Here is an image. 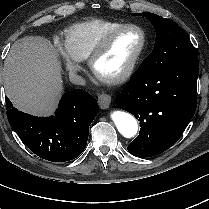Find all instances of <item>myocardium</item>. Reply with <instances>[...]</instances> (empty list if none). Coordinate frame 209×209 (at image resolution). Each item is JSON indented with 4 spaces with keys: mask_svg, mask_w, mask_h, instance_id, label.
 I'll return each instance as SVG.
<instances>
[{
    "mask_svg": "<svg viewBox=\"0 0 209 209\" xmlns=\"http://www.w3.org/2000/svg\"><path fill=\"white\" fill-rule=\"evenodd\" d=\"M125 30H137L141 33L142 41L138 50L133 55V57L127 64V66L120 73L116 75H112V76H106V75L100 74L96 68L98 61L100 60V58L104 55V53L110 46L113 37L119 32L125 31ZM147 42H148V36H147L146 31L142 27L135 25V24H130V23H123V24L116 25L115 27L111 28L104 34V36L101 38V40L95 46L94 50L89 56L88 65L90 67L91 72L98 80L107 84H119V83L125 82L126 80L130 79L135 73L143 57L144 51L147 46Z\"/></svg>",
    "mask_w": 209,
    "mask_h": 209,
    "instance_id": "f54148a6",
    "label": "myocardium"
}]
</instances>
